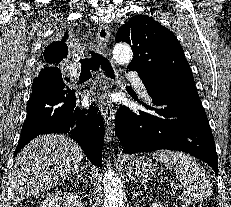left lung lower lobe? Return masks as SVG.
I'll use <instances>...</instances> for the list:
<instances>
[{"label": "left lung lower lobe", "instance_id": "obj_1", "mask_svg": "<svg viewBox=\"0 0 231 207\" xmlns=\"http://www.w3.org/2000/svg\"><path fill=\"white\" fill-rule=\"evenodd\" d=\"M154 113H135L125 106L116 113L115 133L127 154L159 149L189 153L209 164L218 176V157L208 118L196 90L160 94L156 77L142 78Z\"/></svg>", "mask_w": 231, "mask_h": 207}]
</instances>
